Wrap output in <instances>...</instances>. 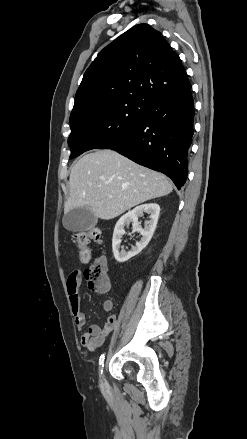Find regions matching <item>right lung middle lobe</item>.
Segmentation results:
<instances>
[{"instance_id": "right-lung-middle-lobe-1", "label": "right lung middle lobe", "mask_w": 247, "mask_h": 439, "mask_svg": "<svg viewBox=\"0 0 247 439\" xmlns=\"http://www.w3.org/2000/svg\"><path fill=\"white\" fill-rule=\"evenodd\" d=\"M148 105L121 100L70 116V158L91 149H104L130 132L144 117Z\"/></svg>"}]
</instances>
